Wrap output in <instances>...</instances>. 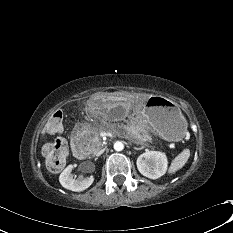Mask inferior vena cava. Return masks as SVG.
I'll use <instances>...</instances> for the list:
<instances>
[{
  "label": "inferior vena cava",
  "mask_w": 233,
  "mask_h": 233,
  "mask_svg": "<svg viewBox=\"0 0 233 233\" xmlns=\"http://www.w3.org/2000/svg\"><path fill=\"white\" fill-rule=\"evenodd\" d=\"M105 149H101L99 150L97 153H96V156H100L103 152H104Z\"/></svg>",
  "instance_id": "1"
}]
</instances>
